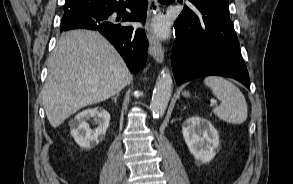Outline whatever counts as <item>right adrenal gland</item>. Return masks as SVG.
I'll return each mask as SVG.
<instances>
[{
	"label": "right adrenal gland",
	"instance_id": "right-adrenal-gland-1",
	"mask_svg": "<svg viewBox=\"0 0 293 184\" xmlns=\"http://www.w3.org/2000/svg\"><path fill=\"white\" fill-rule=\"evenodd\" d=\"M119 97V93L116 94L114 97H112L111 99L114 100V103L117 104V98Z\"/></svg>",
	"mask_w": 293,
	"mask_h": 184
}]
</instances>
